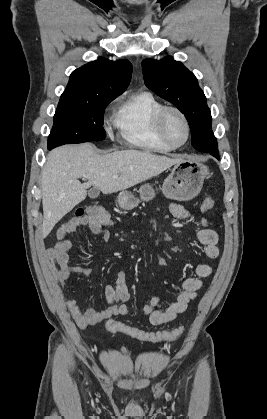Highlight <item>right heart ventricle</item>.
I'll use <instances>...</instances> for the list:
<instances>
[{"mask_svg":"<svg viewBox=\"0 0 267 419\" xmlns=\"http://www.w3.org/2000/svg\"><path fill=\"white\" fill-rule=\"evenodd\" d=\"M164 104L151 92L141 91L128 96L114 117L119 136L133 147L168 153L172 148L164 144L155 128V117Z\"/></svg>","mask_w":267,"mask_h":419,"instance_id":"right-heart-ventricle-1","label":"right heart ventricle"}]
</instances>
